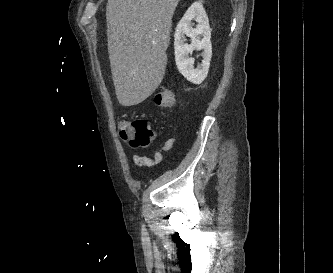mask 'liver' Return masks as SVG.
Returning <instances> with one entry per match:
<instances>
[{"label":"liver","instance_id":"obj_1","mask_svg":"<svg viewBox=\"0 0 333 273\" xmlns=\"http://www.w3.org/2000/svg\"><path fill=\"white\" fill-rule=\"evenodd\" d=\"M179 1L108 0V53L122 106L141 103L162 82L172 17Z\"/></svg>","mask_w":333,"mask_h":273}]
</instances>
